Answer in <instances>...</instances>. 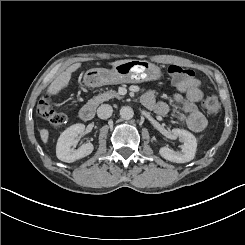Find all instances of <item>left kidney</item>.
Here are the masks:
<instances>
[{
	"label": "left kidney",
	"instance_id": "obj_1",
	"mask_svg": "<svg viewBox=\"0 0 245 245\" xmlns=\"http://www.w3.org/2000/svg\"><path fill=\"white\" fill-rule=\"evenodd\" d=\"M172 138H179L183 145L181 146V151H174L168 147H162L159 150L160 155L171 162L185 163L194 159L197 140L195 136L187 130L174 128L171 131Z\"/></svg>",
	"mask_w": 245,
	"mask_h": 245
}]
</instances>
